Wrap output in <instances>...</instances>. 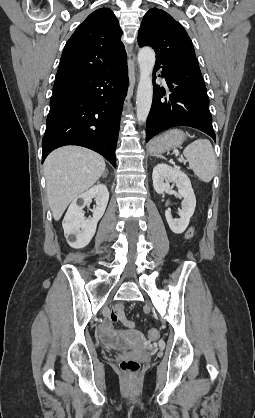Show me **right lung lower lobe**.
Segmentation results:
<instances>
[{"label":"right lung lower lobe","instance_id":"1","mask_svg":"<svg viewBox=\"0 0 255 418\" xmlns=\"http://www.w3.org/2000/svg\"><path fill=\"white\" fill-rule=\"evenodd\" d=\"M128 87L127 62L55 80L42 140V163L54 149L79 145L104 156L116 167L123 101Z\"/></svg>","mask_w":255,"mask_h":418}]
</instances>
